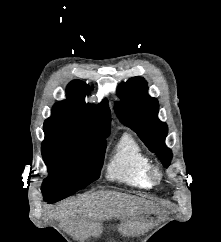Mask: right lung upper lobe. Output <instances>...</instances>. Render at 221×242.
I'll return each mask as SVG.
<instances>
[{
	"instance_id": "1",
	"label": "right lung upper lobe",
	"mask_w": 221,
	"mask_h": 242,
	"mask_svg": "<svg viewBox=\"0 0 221 242\" xmlns=\"http://www.w3.org/2000/svg\"><path fill=\"white\" fill-rule=\"evenodd\" d=\"M89 86L72 81L66 89L67 100L54 105L51 117L44 122V130H70L90 137H107L110 134V110L104 99L98 106L86 104L84 97Z\"/></svg>"
}]
</instances>
